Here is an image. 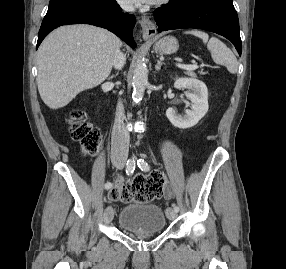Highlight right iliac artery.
<instances>
[{"instance_id":"obj_1","label":"right iliac artery","mask_w":286,"mask_h":269,"mask_svg":"<svg viewBox=\"0 0 286 269\" xmlns=\"http://www.w3.org/2000/svg\"><path fill=\"white\" fill-rule=\"evenodd\" d=\"M135 170V161L134 159H129L126 163V173L127 175H131ZM112 184L111 182L105 183V188L109 189L111 188Z\"/></svg>"}]
</instances>
